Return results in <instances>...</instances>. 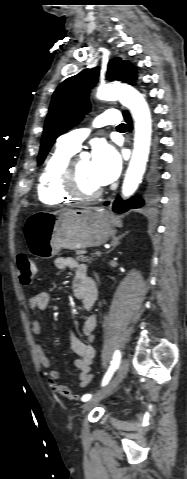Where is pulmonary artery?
Returning <instances> with one entry per match:
<instances>
[{"label":"pulmonary artery","mask_w":187,"mask_h":479,"mask_svg":"<svg viewBox=\"0 0 187 479\" xmlns=\"http://www.w3.org/2000/svg\"><path fill=\"white\" fill-rule=\"evenodd\" d=\"M120 123V113L115 109H109L95 119V126L116 125ZM90 129L81 128L72 130L59 137L58 143L69 149L78 151L82 141L88 136Z\"/></svg>","instance_id":"1"}]
</instances>
